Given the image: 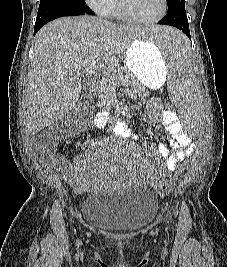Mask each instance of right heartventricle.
Listing matches in <instances>:
<instances>
[{"instance_id":"e07e8e85","label":"right heart ventricle","mask_w":227,"mask_h":267,"mask_svg":"<svg viewBox=\"0 0 227 267\" xmlns=\"http://www.w3.org/2000/svg\"><path fill=\"white\" fill-rule=\"evenodd\" d=\"M110 15H113L115 17H120V14H119L118 9H117L116 2H115V5H114L113 9L110 12Z\"/></svg>"}]
</instances>
